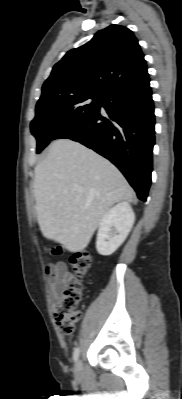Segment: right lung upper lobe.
<instances>
[{
    "label": "right lung upper lobe",
    "mask_w": 182,
    "mask_h": 399,
    "mask_svg": "<svg viewBox=\"0 0 182 399\" xmlns=\"http://www.w3.org/2000/svg\"><path fill=\"white\" fill-rule=\"evenodd\" d=\"M146 78V61L133 32L111 25L66 53L44 82L38 102L79 94L104 96L114 88Z\"/></svg>",
    "instance_id": "right-lung-upper-lobe-1"
}]
</instances>
